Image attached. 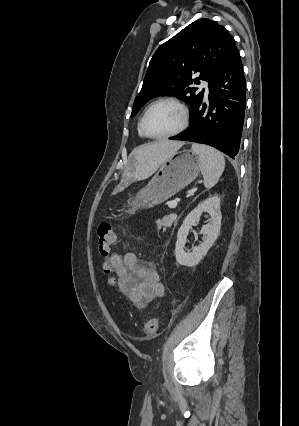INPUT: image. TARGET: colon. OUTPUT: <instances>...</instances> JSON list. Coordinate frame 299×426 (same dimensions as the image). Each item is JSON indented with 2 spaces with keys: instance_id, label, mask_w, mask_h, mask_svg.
Here are the masks:
<instances>
[{
  "instance_id": "obj_1",
  "label": "colon",
  "mask_w": 299,
  "mask_h": 426,
  "mask_svg": "<svg viewBox=\"0 0 299 426\" xmlns=\"http://www.w3.org/2000/svg\"><path fill=\"white\" fill-rule=\"evenodd\" d=\"M117 242V234L113 226L109 223H101L97 230V247L103 257H107ZM106 273L111 269L108 264L105 265ZM158 319L151 318L144 325V333L148 337H154L158 331Z\"/></svg>"
}]
</instances>
